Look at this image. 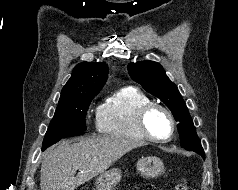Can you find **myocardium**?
<instances>
[{"label": "myocardium", "mask_w": 238, "mask_h": 190, "mask_svg": "<svg viewBox=\"0 0 238 190\" xmlns=\"http://www.w3.org/2000/svg\"><path fill=\"white\" fill-rule=\"evenodd\" d=\"M154 110L162 111L169 119L170 131H169L168 135L165 137H158V136L154 135L148 128L147 119H148V116L150 115V113ZM137 125H138L141 133L147 139L154 141V142H166V141L170 140L172 138L175 128H176V122H175L174 116L171 113V111L164 105L156 103V102H149L139 109V111L137 113Z\"/></svg>", "instance_id": "1"}]
</instances>
